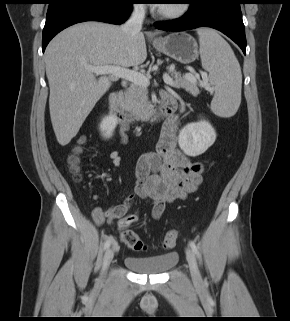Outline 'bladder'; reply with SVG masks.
Returning a JSON list of instances; mask_svg holds the SVG:
<instances>
[{
    "mask_svg": "<svg viewBox=\"0 0 290 321\" xmlns=\"http://www.w3.org/2000/svg\"><path fill=\"white\" fill-rule=\"evenodd\" d=\"M177 260V252H170L148 257L129 255L124 258V263L128 268L137 273L157 275L170 270L175 266Z\"/></svg>",
    "mask_w": 290,
    "mask_h": 321,
    "instance_id": "31cf9c89",
    "label": "bladder"
}]
</instances>
